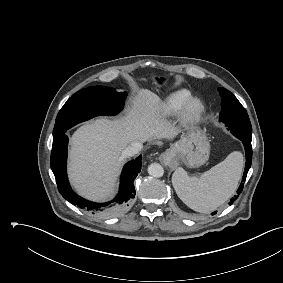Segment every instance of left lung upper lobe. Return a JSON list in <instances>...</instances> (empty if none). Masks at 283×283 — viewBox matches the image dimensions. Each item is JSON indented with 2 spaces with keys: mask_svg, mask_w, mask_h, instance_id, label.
I'll use <instances>...</instances> for the list:
<instances>
[{
  "mask_svg": "<svg viewBox=\"0 0 283 283\" xmlns=\"http://www.w3.org/2000/svg\"><path fill=\"white\" fill-rule=\"evenodd\" d=\"M218 91L222 100L220 120L229 127L237 138L246 132H252L248 114L237 98L225 88H219Z\"/></svg>",
  "mask_w": 283,
  "mask_h": 283,
  "instance_id": "left-lung-upper-lobe-1",
  "label": "left lung upper lobe"
}]
</instances>
